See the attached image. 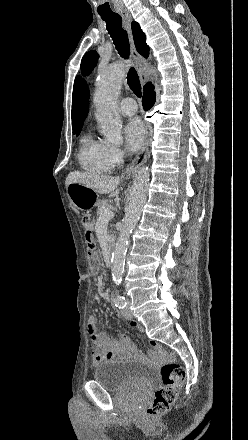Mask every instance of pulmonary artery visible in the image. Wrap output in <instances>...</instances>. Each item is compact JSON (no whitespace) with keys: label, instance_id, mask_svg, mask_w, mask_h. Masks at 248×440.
Segmentation results:
<instances>
[{"label":"pulmonary artery","instance_id":"pulmonary-artery-1","mask_svg":"<svg viewBox=\"0 0 248 440\" xmlns=\"http://www.w3.org/2000/svg\"><path fill=\"white\" fill-rule=\"evenodd\" d=\"M120 111L123 115L131 116L136 113L137 105L136 102L130 98H124L120 102Z\"/></svg>","mask_w":248,"mask_h":440}]
</instances>
